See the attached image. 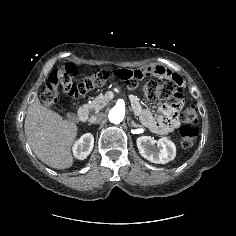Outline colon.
I'll use <instances>...</instances> for the list:
<instances>
[{
	"instance_id": "1",
	"label": "colon",
	"mask_w": 236,
	"mask_h": 236,
	"mask_svg": "<svg viewBox=\"0 0 236 236\" xmlns=\"http://www.w3.org/2000/svg\"><path fill=\"white\" fill-rule=\"evenodd\" d=\"M114 76L106 70L98 71L94 74L78 79V71L71 64L58 66L49 75L47 81L42 86L41 101L47 107H54L58 101L59 90L61 89L68 97L78 99L86 93L103 86L108 79ZM138 86V85H137ZM130 88L133 90L137 88ZM143 91L150 99L166 101L172 104V108L177 109L183 99V90L179 84L168 80L161 82L156 78L148 80ZM181 120L185 123L180 128L179 134L183 148H190L198 137V130L191 126L197 122V110L194 105H188L180 114Z\"/></svg>"
}]
</instances>
